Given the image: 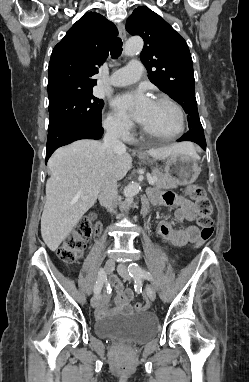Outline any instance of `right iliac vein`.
I'll use <instances>...</instances> for the list:
<instances>
[{
	"label": "right iliac vein",
	"mask_w": 249,
	"mask_h": 382,
	"mask_svg": "<svg viewBox=\"0 0 249 382\" xmlns=\"http://www.w3.org/2000/svg\"><path fill=\"white\" fill-rule=\"evenodd\" d=\"M114 267H115V261L113 259L107 260L104 266L107 274H110L114 270ZM99 300H100V295L95 294L91 299V306L96 307L97 304L99 303Z\"/></svg>",
	"instance_id": "obj_1"
}]
</instances>
